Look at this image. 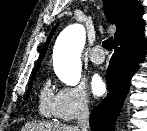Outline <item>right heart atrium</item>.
Returning <instances> with one entry per match:
<instances>
[{
    "label": "right heart atrium",
    "instance_id": "1",
    "mask_svg": "<svg viewBox=\"0 0 147 131\" xmlns=\"http://www.w3.org/2000/svg\"><path fill=\"white\" fill-rule=\"evenodd\" d=\"M90 98L83 85L62 87L54 98L53 116L62 122H71L88 113Z\"/></svg>",
    "mask_w": 147,
    "mask_h": 131
}]
</instances>
